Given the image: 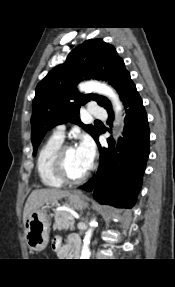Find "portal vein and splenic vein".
I'll return each mask as SVG.
<instances>
[{"instance_id":"1","label":"portal vein and splenic vein","mask_w":175,"mask_h":287,"mask_svg":"<svg viewBox=\"0 0 175 287\" xmlns=\"http://www.w3.org/2000/svg\"><path fill=\"white\" fill-rule=\"evenodd\" d=\"M69 218H70L71 220H74V217H73V216H70ZM76 218H78V217H76Z\"/></svg>"}]
</instances>
